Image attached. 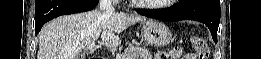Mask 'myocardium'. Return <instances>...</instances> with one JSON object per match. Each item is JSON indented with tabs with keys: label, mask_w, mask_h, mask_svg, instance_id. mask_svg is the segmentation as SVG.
Instances as JSON below:
<instances>
[{
	"label": "myocardium",
	"mask_w": 261,
	"mask_h": 59,
	"mask_svg": "<svg viewBox=\"0 0 261 59\" xmlns=\"http://www.w3.org/2000/svg\"><path fill=\"white\" fill-rule=\"evenodd\" d=\"M166 2L163 4H150V3H142V2H138V1H133L134 3H136L139 7L142 8H149V9H160V8H164L167 6L168 3H171L174 0H165Z\"/></svg>",
	"instance_id": "obj_1"
}]
</instances>
